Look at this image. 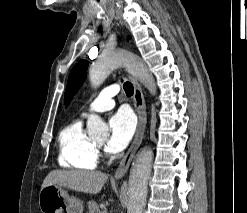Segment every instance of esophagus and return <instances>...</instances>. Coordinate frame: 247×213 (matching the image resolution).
I'll return each mask as SVG.
<instances>
[{
	"label": "esophagus",
	"mask_w": 247,
	"mask_h": 213,
	"mask_svg": "<svg viewBox=\"0 0 247 213\" xmlns=\"http://www.w3.org/2000/svg\"><path fill=\"white\" fill-rule=\"evenodd\" d=\"M133 86H134V106L138 112L139 115V123H138V127H137V131L135 134V137L133 139V142L130 146V148L128 149L127 153L125 154V156L123 157V159L121 160L115 174L114 177L119 179L122 178L125 173L127 172L131 161L137 151V149L139 148V146L142 143L143 137H144V133H145V128H146V123H147V115H146V103H145V99H144V95L142 92V89L140 87V84L137 82V80L133 77H131Z\"/></svg>",
	"instance_id": "34e87169"
}]
</instances>
